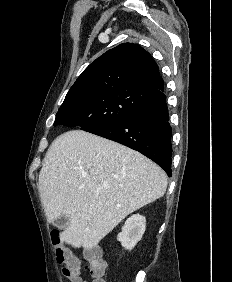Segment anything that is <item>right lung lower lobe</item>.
Segmentation results:
<instances>
[{
    "instance_id": "1",
    "label": "right lung lower lobe",
    "mask_w": 232,
    "mask_h": 282,
    "mask_svg": "<svg viewBox=\"0 0 232 282\" xmlns=\"http://www.w3.org/2000/svg\"><path fill=\"white\" fill-rule=\"evenodd\" d=\"M84 131L116 141L156 162L171 177L172 129L166 96L141 113Z\"/></svg>"
}]
</instances>
